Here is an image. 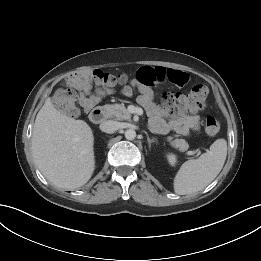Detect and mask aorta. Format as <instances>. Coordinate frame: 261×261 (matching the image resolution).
Listing matches in <instances>:
<instances>
[{
  "mask_svg": "<svg viewBox=\"0 0 261 261\" xmlns=\"http://www.w3.org/2000/svg\"><path fill=\"white\" fill-rule=\"evenodd\" d=\"M124 135L127 140H133L136 137V132L134 129H127Z\"/></svg>",
  "mask_w": 261,
  "mask_h": 261,
  "instance_id": "obj_1",
  "label": "aorta"
}]
</instances>
